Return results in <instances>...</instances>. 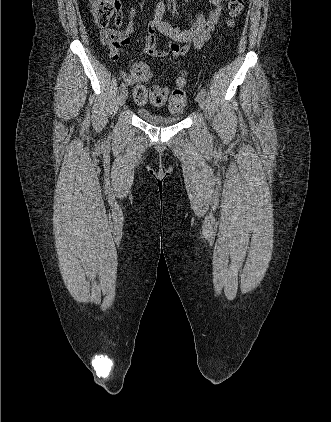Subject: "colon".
I'll return each mask as SVG.
<instances>
[{
	"instance_id": "5ec220e1",
	"label": "colon",
	"mask_w": 331,
	"mask_h": 422,
	"mask_svg": "<svg viewBox=\"0 0 331 422\" xmlns=\"http://www.w3.org/2000/svg\"><path fill=\"white\" fill-rule=\"evenodd\" d=\"M90 10L96 24L105 28L112 19L116 21L120 17V3L119 0H89ZM244 8V0H229L228 11L230 16V24L233 25L238 19ZM132 74L141 81L134 94L138 101H144L148 92L143 83L151 79V71L149 67L141 62L133 65ZM150 98L153 100L154 105L162 106L166 103L168 98V90L165 87L153 86L150 89ZM187 104V98L184 91V80L180 79L178 85L174 88L169 97L168 109L172 114H181Z\"/></svg>"
}]
</instances>
